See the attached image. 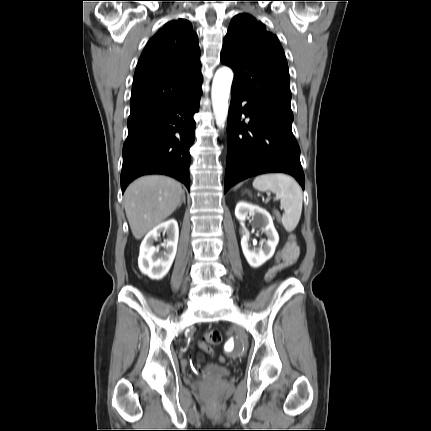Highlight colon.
I'll return each mask as SVG.
<instances>
[{
	"label": "colon",
	"instance_id": "5ec220e1",
	"mask_svg": "<svg viewBox=\"0 0 431 431\" xmlns=\"http://www.w3.org/2000/svg\"><path fill=\"white\" fill-rule=\"evenodd\" d=\"M296 236L294 234L289 235L287 243L289 240H295ZM283 249L277 250L273 255V260L277 263V261L283 256ZM222 342V333L218 329H211L207 331L204 335V341L199 343V347L204 351L206 355L213 356L214 348L211 346L219 345ZM224 355L220 354V363H224Z\"/></svg>",
	"mask_w": 431,
	"mask_h": 431
}]
</instances>
